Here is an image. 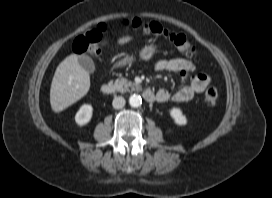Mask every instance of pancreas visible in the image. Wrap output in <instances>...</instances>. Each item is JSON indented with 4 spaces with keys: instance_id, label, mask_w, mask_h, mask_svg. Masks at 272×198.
<instances>
[{
    "instance_id": "1",
    "label": "pancreas",
    "mask_w": 272,
    "mask_h": 198,
    "mask_svg": "<svg viewBox=\"0 0 272 198\" xmlns=\"http://www.w3.org/2000/svg\"><path fill=\"white\" fill-rule=\"evenodd\" d=\"M114 86L121 93H124L126 91H130V89L133 91V90H139L141 88V86L139 84L128 81L125 78L117 79L114 82Z\"/></svg>"
}]
</instances>
